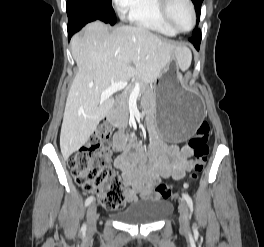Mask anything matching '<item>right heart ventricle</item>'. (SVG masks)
Returning <instances> with one entry per match:
<instances>
[{"mask_svg":"<svg viewBox=\"0 0 264 247\" xmlns=\"http://www.w3.org/2000/svg\"><path fill=\"white\" fill-rule=\"evenodd\" d=\"M128 16L131 22L141 28L165 35L176 33L163 19L159 10V0H135Z\"/></svg>","mask_w":264,"mask_h":247,"instance_id":"1","label":"right heart ventricle"}]
</instances>
